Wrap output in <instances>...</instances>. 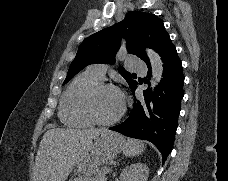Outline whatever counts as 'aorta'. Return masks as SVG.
Wrapping results in <instances>:
<instances>
[{
  "label": "aorta",
  "instance_id": "aorta-1",
  "mask_svg": "<svg viewBox=\"0 0 228 181\" xmlns=\"http://www.w3.org/2000/svg\"><path fill=\"white\" fill-rule=\"evenodd\" d=\"M146 52L152 67V76H153L152 88H154L162 78L163 63L161 61L160 56L152 49H147Z\"/></svg>",
  "mask_w": 228,
  "mask_h": 181
}]
</instances>
